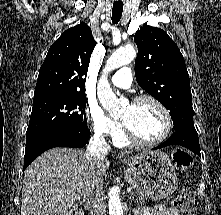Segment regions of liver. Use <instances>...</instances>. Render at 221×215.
Listing matches in <instances>:
<instances>
[{"mask_svg": "<svg viewBox=\"0 0 221 215\" xmlns=\"http://www.w3.org/2000/svg\"><path fill=\"white\" fill-rule=\"evenodd\" d=\"M125 154H130L126 152ZM110 162L87 152L52 148L25 170L21 215H73L91 191L102 189Z\"/></svg>", "mask_w": 221, "mask_h": 215, "instance_id": "1", "label": "liver"}]
</instances>
